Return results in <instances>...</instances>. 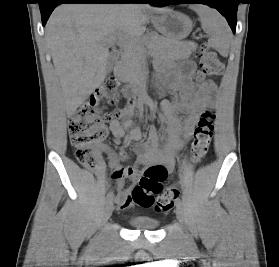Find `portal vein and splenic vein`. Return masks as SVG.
<instances>
[{"mask_svg": "<svg viewBox=\"0 0 279 267\" xmlns=\"http://www.w3.org/2000/svg\"><path fill=\"white\" fill-rule=\"evenodd\" d=\"M135 40L133 39H129L126 35H122L121 33H117L116 35H113L107 39H105V44L111 45L114 43H117L119 45H127L130 44L131 42H133Z\"/></svg>", "mask_w": 279, "mask_h": 267, "instance_id": "obj_1", "label": "portal vein and splenic vein"}]
</instances>
